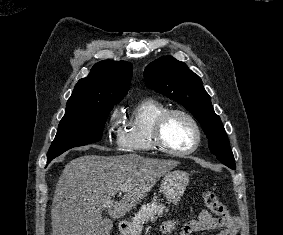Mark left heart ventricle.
<instances>
[{"label":"left heart ventricle","instance_id":"1","mask_svg":"<svg viewBox=\"0 0 283 235\" xmlns=\"http://www.w3.org/2000/svg\"><path fill=\"white\" fill-rule=\"evenodd\" d=\"M196 133L188 119L181 115L170 117L163 128V139L174 150H186L195 142Z\"/></svg>","mask_w":283,"mask_h":235}]
</instances>
